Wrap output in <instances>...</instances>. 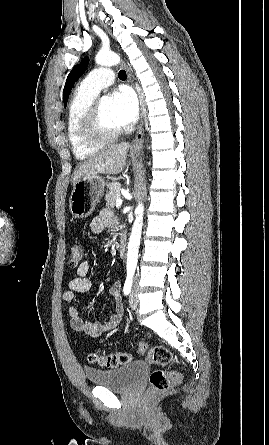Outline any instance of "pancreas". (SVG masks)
Here are the masks:
<instances>
[{
	"label": "pancreas",
	"instance_id": "cf45deb5",
	"mask_svg": "<svg viewBox=\"0 0 269 445\" xmlns=\"http://www.w3.org/2000/svg\"><path fill=\"white\" fill-rule=\"evenodd\" d=\"M120 183L118 182H112L109 184V191L107 192L105 196L106 205L110 207H114L116 200L121 197L120 194Z\"/></svg>",
	"mask_w": 269,
	"mask_h": 445
}]
</instances>
